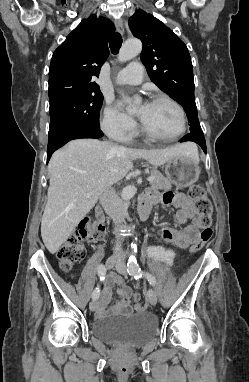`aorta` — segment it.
Here are the masks:
<instances>
[{
    "label": "aorta",
    "mask_w": 249,
    "mask_h": 382,
    "mask_svg": "<svg viewBox=\"0 0 249 382\" xmlns=\"http://www.w3.org/2000/svg\"><path fill=\"white\" fill-rule=\"evenodd\" d=\"M142 50V43L139 39L133 38L127 40L119 50L118 60L120 62H126L136 57ZM137 189L134 186H128L122 191V199L128 200L132 198Z\"/></svg>",
    "instance_id": "1"
}]
</instances>
